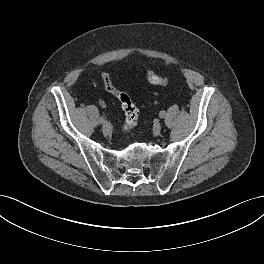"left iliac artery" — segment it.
<instances>
[{
	"mask_svg": "<svg viewBox=\"0 0 264 264\" xmlns=\"http://www.w3.org/2000/svg\"><path fill=\"white\" fill-rule=\"evenodd\" d=\"M165 115H166L165 111H160V113H159L160 118H164Z\"/></svg>",
	"mask_w": 264,
	"mask_h": 264,
	"instance_id": "1",
	"label": "left iliac artery"
}]
</instances>
